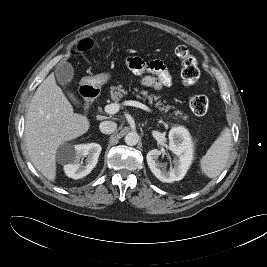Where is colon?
Here are the masks:
<instances>
[{"label":"colon","instance_id":"colon-1","mask_svg":"<svg viewBox=\"0 0 267 267\" xmlns=\"http://www.w3.org/2000/svg\"><path fill=\"white\" fill-rule=\"evenodd\" d=\"M93 46V40L83 39L77 45V51L85 52ZM176 55L181 61V78L183 84L188 87L193 86L198 81L200 75L197 59L185 46L177 47ZM189 106L194 114L202 116L209 109V100L205 95H193L189 98Z\"/></svg>","mask_w":267,"mask_h":267}]
</instances>
